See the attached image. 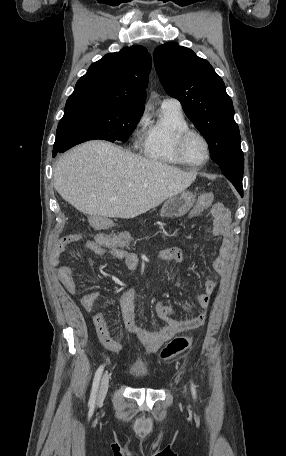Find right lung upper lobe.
Instances as JSON below:
<instances>
[{
    "label": "right lung upper lobe",
    "mask_w": 286,
    "mask_h": 456,
    "mask_svg": "<svg viewBox=\"0 0 286 456\" xmlns=\"http://www.w3.org/2000/svg\"><path fill=\"white\" fill-rule=\"evenodd\" d=\"M151 66V55L140 45L107 54L89 67L67 101L90 100L144 110Z\"/></svg>",
    "instance_id": "right-lung-upper-lobe-1"
}]
</instances>
